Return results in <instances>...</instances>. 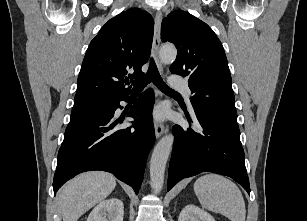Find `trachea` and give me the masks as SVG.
Masks as SVG:
<instances>
[{
	"mask_svg": "<svg viewBox=\"0 0 307 221\" xmlns=\"http://www.w3.org/2000/svg\"><path fill=\"white\" fill-rule=\"evenodd\" d=\"M150 82H153V84L162 92L178 94L163 81L153 59L150 61V67L147 74L139 80L132 81L134 86L133 89L142 90Z\"/></svg>",
	"mask_w": 307,
	"mask_h": 221,
	"instance_id": "1",
	"label": "trachea"
}]
</instances>
